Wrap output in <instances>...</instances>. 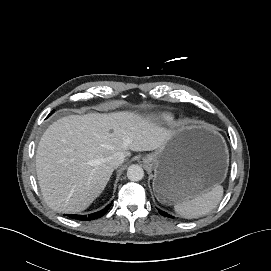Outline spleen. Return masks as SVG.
I'll return each instance as SVG.
<instances>
[{"instance_id": "obj_1", "label": "spleen", "mask_w": 271, "mask_h": 271, "mask_svg": "<svg viewBox=\"0 0 271 271\" xmlns=\"http://www.w3.org/2000/svg\"><path fill=\"white\" fill-rule=\"evenodd\" d=\"M223 187L214 185L211 190L204 192L193 199H186L176 202L175 211L185 218H198L208 214L221 201Z\"/></svg>"}]
</instances>
